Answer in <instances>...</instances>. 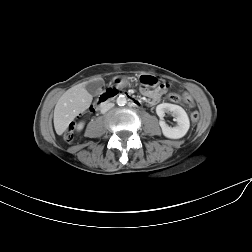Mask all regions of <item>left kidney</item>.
<instances>
[{
  "label": "left kidney",
  "mask_w": 252,
  "mask_h": 252,
  "mask_svg": "<svg viewBox=\"0 0 252 252\" xmlns=\"http://www.w3.org/2000/svg\"><path fill=\"white\" fill-rule=\"evenodd\" d=\"M156 113L160 118V126L163 132V135L171 139L182 138L190 127V121L185 110L175 104L162 103L156 107ZM165 113H171L177 122L175 127L168 126L164 121L163 117Z\"/></svg>",
  "instance_id": "1"
}]
</instances>
